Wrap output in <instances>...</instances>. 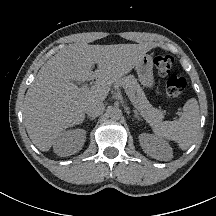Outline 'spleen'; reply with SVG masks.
Instances as JSON below:
<instances>
[{
    "label": "spleen",
    "mask_w": 216,
    "mask_h": 216,
    "mask_svg": "<svg viewBox=\"0 0 216 216\" xmlns=\"http://www.w3.org/2000/svg\"><path fill=\"white\" fill-rule=\"evenodd\" d=\"M200 126L199 105L195 98L189 99L183 106L178 120L164 121L153 128L155 135L178 143L187 150L194 142Z\"/></svg>",
    "instance_id": "3e777b00"
}]
</instances>
